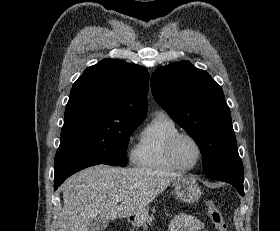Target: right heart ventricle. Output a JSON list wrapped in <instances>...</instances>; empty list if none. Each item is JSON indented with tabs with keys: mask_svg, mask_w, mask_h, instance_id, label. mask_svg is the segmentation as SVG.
Segmentation results:
<instances>
[{
	"mask_svg": "<svg viewBox=\"0 0 280 231\" xmlns=\"http://www.w3.org/2000/svg\"><path fill=\"white\" fill-rule=\"evenodd\" d=\"M179 131L172 117L164 112L156 113L140 131L134 150L135 164L144 168L177 170L169 161L166 149L171 136Z\"/></svg>",
	"mask_w": 280,
	"mask_h": 231,
	"instance_id": "1",
	"label": "right heart ventricle"
}]
</instances>
